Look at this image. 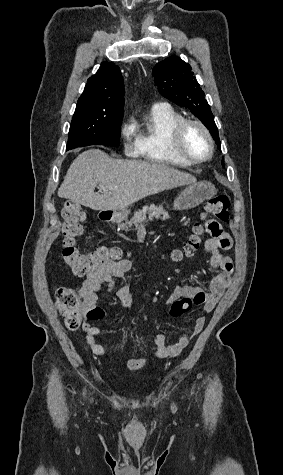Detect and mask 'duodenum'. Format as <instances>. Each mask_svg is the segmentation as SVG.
I'll list each match as a JSON object with an SVG mask.
<instances>
[{
  "label": "duodenum",
  "instance_id": "obj_1",
  "mask_svg": "<svg viewBox=\"0 0 283 475\" xmlns=\"http://www.w3.org/2000/svg\"><path fill=\"white\" fill-rule=\"evenodd\" d=\"M111 218H112V214L110 212L105 213V215L103 216L104 220H111Z\"/></svg>",
  "mask_w": 283,
  "mask_h": 475
}]
</instances>
